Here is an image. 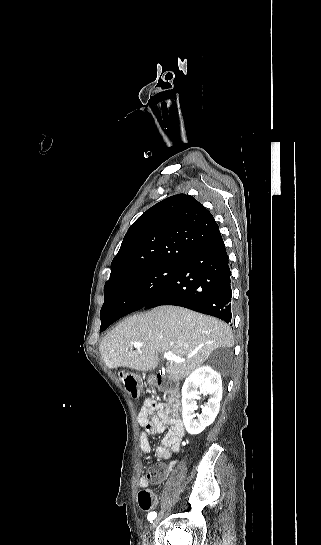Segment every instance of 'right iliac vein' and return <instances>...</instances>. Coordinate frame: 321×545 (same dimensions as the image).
<instances>
[{"instance_id": "obj_1", "label": "right iliac vein", "mask_w": 321, "mask_h": 545, "mask_svg": "<svg viewBox=\"0 0 321 545\" xmlns=\"http://www.w3.org/2000/svg\"><path fill=\"white\" fill-rule=\"evenodd\" d=\"M163 516H164V511H162L161 514L152 522L151 527H150L151 531H154L156 529V527L158 526V524L162 520Z\"/></svg>"}]
</instances>
